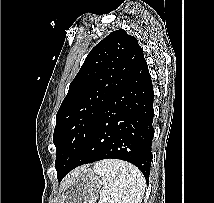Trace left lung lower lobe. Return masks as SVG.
Listing matches in <instances>:
<instances>
[{
	"label": "left lung lower lobe",
	"mask_w": 214,
	"mask_h": 203,
	"mask_svg": "<svg viewBox=\"0 0 214 203\" xmlns=\"http://www.w3.org/2000/svg\"><path fill=\"white\" fill-rule=\"evenodd\" d=\"M154 92L143 60L97 118L82 149L63 177L74 168L102 159H120L137 166L149 182Z\"/></svg>",
	"instance_id": "0a47b994"
}]
</instances>
